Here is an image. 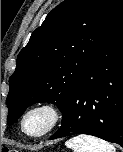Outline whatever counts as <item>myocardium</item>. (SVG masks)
I'll use <instances>...</instances> for the list:
<instances>
[{"mask_svg": "<svg viewBox=\"0 0 123 152\" xmlns=\"http://www.w3.org/2000/svg\"><path fill=\"white\" fill-rule=\"evenodd\" d=\"M36 111L47 112L50 117V120H49L47 127L44 130H42L41 132L30 133L26 130L25 122H26V119L28 118V116ZM61 117H62L61 111H60L59 107L56 106L55 104L50 103V102L37 103V104L31 106L23 114L22 119H21V129L27 136H30L33 138L43 137V136L49 134L50 132H52L57 127V125L59 124V122L61 120Z\"/></svg>", "mask_w": 123, "mask_h": 152, "instance_id": "myocardium-1", "label": "myocardium"}]
</instances>
